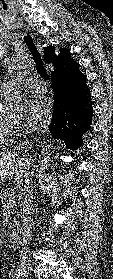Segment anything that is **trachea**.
Returning a JSON list of instances; mask_svg holds the SVG:
<instances>
[{
  "label": "trachea",
  "instance_id": "1",
  "mask_svg": "<svg viewBox=\"0 0 113 279\" xmlns=\"http://www.w3.org/2000/svg\"><path fill=\"white\" fill-rule=\"evenodd\" d=\"M24 41L31 53V55L33 56V59L35 61V66H36V70L38 72V74L48 80L49 79V76L46 72V69H45V66H44V63H43V60H42V57L32 39L31 36L27 35V36H24Z\"/></svg>",
  "mask_w": 113,
  "mask_h": 279
}]
</instances>
